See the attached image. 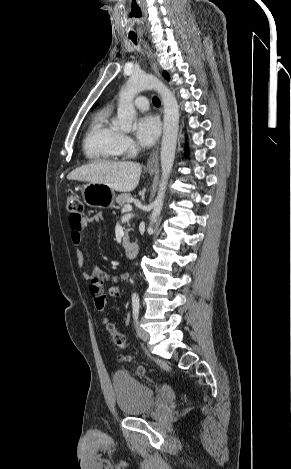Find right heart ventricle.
<instances>
[{
  "mask_svg": "<svg viewBox=\"0 0 291 469\" xmlns=\"http://www.w3.org/2000/svg\"><path fill=\"white\" fill-rule=\"evenodd\" d=\"M110 116L111 109L104 107L90 120L83 139V152L91 161H114L123 153L120 146L121 133L112 126Z\"/></svg>",
  "mask_w": 291,
  "mask_h": 469,
  "instance_id": "1",
  "label": "right heart ventricle"
}]
</instances>
